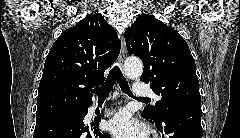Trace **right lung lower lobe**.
<instances>
[{
	"label": "right lung lower lobe",
	"instance_id": "right-lung-lower-lobe-1",
	"mask_svg": "<svg viewBox=\"0 0 240 138\" xmlns=\"http://www.w3.org/2000/svg\"><path fill=\"white\" fill-rule=\"evenodd\" d=\"M89 106L76 107L36 117L33 138H111L98 129V122L85 126Z\"/></svg>",
	"mask_w": 240,
	"mask_h": 138
}]
</instances>
